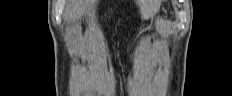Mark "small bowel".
Here are the masks:
<instances>
[{"label":"small bowel","mask_w":232,"mask_h":96,"mask_svg":"<svg viewBox=\"0 0 232 96\" xmlns=\"http://www.w3.org/2000/svg\"><path fill=\"white\" fill-rule=\"evenodd\" d=\"M149 92L150 91H148L144 86L138 85L135 90V95H144Z\"/></svg>","instance_id":"1"}]
</instances>
